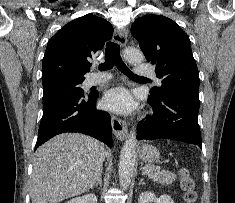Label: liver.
<instances>
[{"label": "liver", "instance_id": "6515ba94", "mask_svg": "<svg viewBox=\"0 0 235 203\" xmlns=\"http://www.w3.org/2000/svg\"><path fill=\"white\" fill-rule=\"evenodd\" d=\"M110 151L98 140L62 133L40 146L33 159L32 203H59L81 195L97 181Z\"/></svg>", "mask_w": 235, "mask_h": 203}]
</instances>
